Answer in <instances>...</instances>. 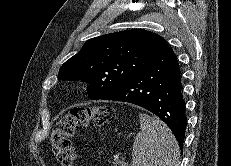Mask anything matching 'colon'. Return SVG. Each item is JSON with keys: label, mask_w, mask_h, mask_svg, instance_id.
I'll use <instances>...</instances> for the list:
<instances>
[{"label": "colon", "mask_w": 231, "mask_h": 166, "mask_svg": "<svg viewBox=\"0 0 231 166\" xmlns=\"http://www.w3.org/2000/svg\"><path fill=\"white\" fill-rule=\"evenodd\" d=\"M114 110L109 105L76 107L63 115L55 124L51 135V149L63 166H73L74 153L71 137L74 132L90 122L104 125L114 120Z\"/></svg>", "instance_id": "1"}]
</instances>
